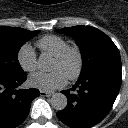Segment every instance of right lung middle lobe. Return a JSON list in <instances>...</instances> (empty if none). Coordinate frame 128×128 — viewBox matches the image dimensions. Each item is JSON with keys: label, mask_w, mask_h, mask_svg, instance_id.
Here are the masks:
<instances>
[{"label": "right lung middle lobe", "mask_w": 128, "mask_h": 128, "mask_svg": "<svg viewBox=\"0 0 128 128\" xmlns=\"http://www.w3.org/2000/svg\"><path fill=\"white\" fill-rule=\"evenodd\" d=\"M39 30L0 26V77H16L24 73L17 59L18 51Z\"/></svg>", "instance_id": "obj_1"}]
</instances>
